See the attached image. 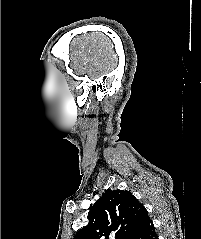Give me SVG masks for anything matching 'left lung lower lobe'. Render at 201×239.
<instances>
[{
    "label": "left lung lower lobe",
    "instance_id": "1",
    "mask_svg": "<svg viewBox=\"0 0 201 239\" xmlns=\"http://www.w3.org/2000/svg\"><path fill=\"white\" fill-rule=\"evenodd\" d=\"M130 239H158L153 222L149 220L139 231Z\"/></svg>",
    "mask_w": 201,
    "mask_h": 239
}]
</instances>
